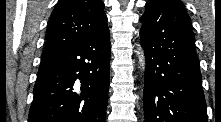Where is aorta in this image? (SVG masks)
<instances>
[{"label":"aorta","mask_w":221,"mask_h":122,"mask_svg":"<svg viewBox=\"0 0 221 122\" xmlns=\"http://www.w3.org/2000/svg\"><path fill=\"white\" fill-rule=\"evenodd\" d=\"M140 63L142 66L144 65V58H143L142 52H141V56H140Z\"/></svg>","instance_id":"aorta-1"}]
</instances>
